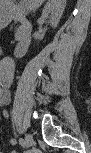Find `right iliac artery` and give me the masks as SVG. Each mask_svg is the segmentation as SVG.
I'll use <instances>...</instances> for the list:
<instances>
[{
	"instance_id": "right-iliac-artery-1",
	"label": "right iliac artery",
	"mask_w": 91,
	"mask_h": 153,
	"mask_svg": "<svg viewBox=\"0 0 91 153\" xmlns=\"http://www.w3.org/2000/svg\"><path fill=\"white\" fill-rule=\"evenodd\" d=\"M19 143H20L21 146H24L25 145V140L23 138H20Z\"/></svg>"
}]
</instances>
